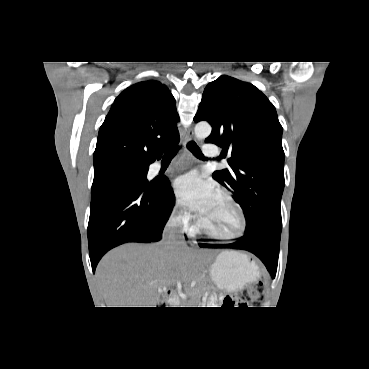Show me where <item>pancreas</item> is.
<instances>
[{"label":"pancreas","mask_w":369,"mask_h":369,"mask_svg":"<svg viewBox=\"0 0 369 369\" xmlns=\"http://www.w3.org/2000/svg\"><path fill=\"white\" fill-rule=\"evenodd\" d=\"M197 297H200V295H199V294H197Z\"/></svg>","instance_id":"obj_1"}]
</instances>
